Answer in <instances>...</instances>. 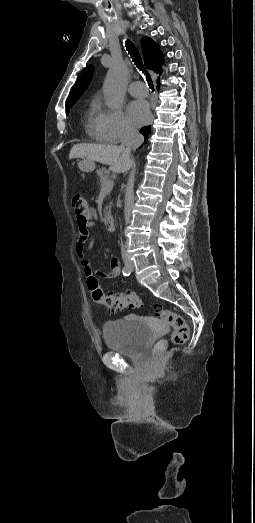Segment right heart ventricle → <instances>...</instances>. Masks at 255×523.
I'll return each mask as SVG.
<instances>
[{"label": "right heart ventricle", "mask_w": 255, "mask_h": 523, "mask_svg": "<svg viewBox=\"0 0 255 523\" xmlns=\"http://www.w3.org/2000/svg\"><path fill=\"white\" fill-rule=\"evenodd\" d=\"M86 132L88 137L96 143H112L115 140L108 111L97 102L91 106L86 122Z\"/></svg>", "instance_id": "e07e8e85"}]
</instances>
